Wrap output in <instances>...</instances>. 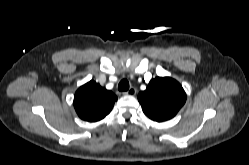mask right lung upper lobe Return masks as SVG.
Instances as JSON below:
<instances>
[{
    "mask_svg": "<svg viewBox=\"0 0 249 165\" xmlns=\"http://www.w3.org/2000/svg\"><path fill=\"white\" fill-rule=\"evenodd\" d=\"M116 100L112 91L91 80L76 91L74 108L81 119L96 122L110 113Z\"/></svg>",
    "mask_w": 249,
    "mask_h": 165,
    "instance_id": "1",
    "label": "right lung upper lobe"
}]
</instances>
